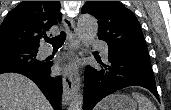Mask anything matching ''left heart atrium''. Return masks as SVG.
I'll list each match as a JSON object with an SVG mask.
<instances>
[{"label": "left heart atrium", "instance_id": "1", "mask_svg": "<svg viewBox=\"0 0 171 110\" xmlns=\"http://www.w3.org/2000/svg\"><path fill=\"white\" fill-rule=\"evenodd\" d=\"M73 66H68L64 69V72H72Z\"/></svg>", "mask_w": 171, "mask_h": 110}]
</instances>
